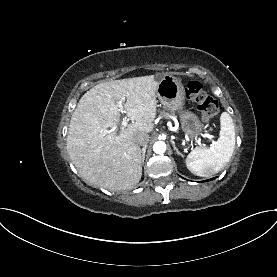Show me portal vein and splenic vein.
I'll return each instance as SVG.
<instances>
[{
    "label": "portal vein and splenic vein",
    "instance_id": "18ae733b",
    "mask_svg": "<svg viewBox=\"0 0 277 277\" xmlns=\"http://www.w3.org/2000/svg\"><path fill=\"white\" fill-rule=\"evenodd\" d=\"M124 100H125V98L122 97V99L119 100V101L117 102V107L120 108L121 110L124 109V108H123V104H122V103L124 102ZM127 124H128V120H127L126 118H124L123 121H122V127H121V129L126 128ZM114 130H115V129H112V130H110V131H114ZM203 137H206V138H208V139L211 140V141H212L213 138H214V136H213V135H210V134H204Z\"/></svg>",
    "mask_w": 277,
    "mask_h": 277
}]
</instances>
